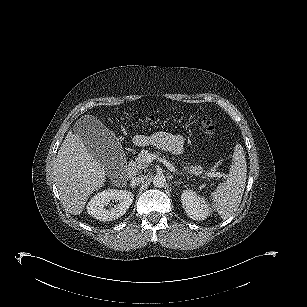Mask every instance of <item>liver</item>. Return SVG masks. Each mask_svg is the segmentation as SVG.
<instances>
[{
	"label": "liver",
	"mask_w": 307,
	"mask_h": 307,
	"mask_svg": "<svg viewBox=\"0 0 307 307\" xmlns=\"http://www.w3.org/2000/svg\"><path fill=\"white\" fill-rule=\"evenodd\" d=\"M117 159L106 166L87 149L79 133L68 132L54 161L52 174L69 213H82L89 196L104 185L106 172L116 169Z\"/></svg>",
	"instance_id": "liver-1"
}]
</instances>
